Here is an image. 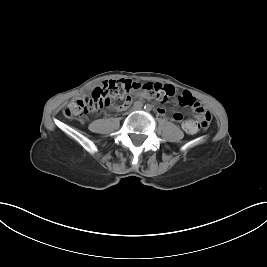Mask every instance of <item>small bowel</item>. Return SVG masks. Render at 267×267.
Segmentation results:
<instances>
[{
  "label": "small bowel",
  "mask_w": 267,
  "mask_h": 267,
  "mask_svg": "<svg viewBox=\"0 0 267 267\" xmlns=\"http://www.w3.org/2000/svg\"><path fill=\"white\" fill-rule=\"evenodd\" d=\"M200 104V103H199ZM201 105V104H200ZM202 106V105H201ZM128 107V102H125L123 104H121L120 106L117 107V110H125L126 108ZM203 107V106H202ZM204 108V107H203ZM205 109V108H204ZM158 112L163 114L164 113V110L163 109H158ZM174 115H179V119H174ZM173 120L177 123H182V128L190 133V134H194L197 132L198 128L195 124L194 121L192 120H185L183 121V117L180 113H174L173 114Z\"/></svg>",
  "instance_id": "1"
}]
</instances>
